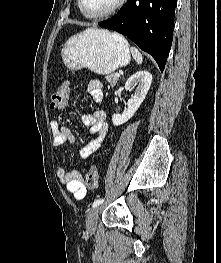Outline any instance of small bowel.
I'll use <instances>...</instances> for the list:
<instances>
[{
    "label": "small bowel",
    "instance_id": "obj_1",
    "mask_svg": "<svg viewBox=\"0 0 221 263\" xmlns=\"http://www.w3.org/2000/svg\"><path fill=\"white\" fill-rule=\"evenodd\" d=\"M87 93L95 102H101L103 99L102 83L98 80L90 81L86 86ZM83 123L89 128V132L95 135V138L86 144L80 151L82 158L90 157L96 152L108 133V124L106 115L102 111H96L91 114H85L82 117ZM53 143L55 146H62L66 143H74L75 137L70 129L60 124L52 122ZM57 176L60 182L65 185L67 190L73 195L74 199L79 201L85 197L86 189L82 182V174L73 169L66 171L63 167L58 168Z\"/></svg>",
    "mask_w": 221,
    "mask_h": 263
}]
</instances>
